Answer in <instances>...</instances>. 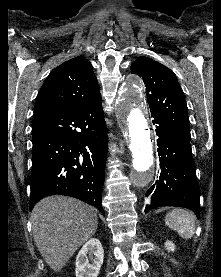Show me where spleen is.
<instances>
[{
	"label": "spleen",
	"mask_w": 221,
	"mask_h": 277,
	"mask_svg": "<svg viewBox=\"0 0 221 277\" xmlns=\"http://www.w3.org/2000/svg\"><path fill=\"white\" fill-rule=\"evenodd\" d=\"M165 224L178 232L185 239L195 234V216L192 212L183 209H174L165 216Z\"/></svg>",
	"instance_id": "1"
}]
</instances>
